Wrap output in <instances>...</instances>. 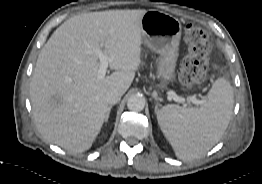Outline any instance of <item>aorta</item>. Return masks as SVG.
Instances as JSON below:
<instances>
[{"instance_id": "1", "label": "aorta", "mask_w": 262, "mask_h": 184, "mask_svg": "<svg viewBox=\"0 0 262 184\" xmlns=\"http://www.w3.org/2000/svg\"><path fill=\"white\" fill-rule=\"evenodd\" d=\"M127 107L131 111L139 112L145 107V98L142 95L134 94L128 98Z\"/></svg>"}]
</instances>
